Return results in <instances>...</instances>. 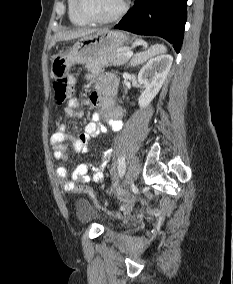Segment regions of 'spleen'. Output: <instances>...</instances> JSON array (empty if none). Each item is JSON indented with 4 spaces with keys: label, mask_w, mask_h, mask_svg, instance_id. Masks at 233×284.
I'll use <instances>...</instances> for the list:
<instances>
[{
    "label": "spleen",
    "mask_w": 233,
    "mask_h": 284,
    "mask_svg": "<svg viewBox=\"0 0 233 284\" xmlns=\"http://www.w3.org/2000/svg\"><path fill=\"white\" fill-rule=\"evenodd\" d=\"M165 51H166V47L164 45L156 44L152 46L148 51L137 54L134 58V62L139 63V62L146 61L148 58L156 54H159V53H164Z\"/></svg>",
    "instance_id": "obj_1"
}]
</instances>
